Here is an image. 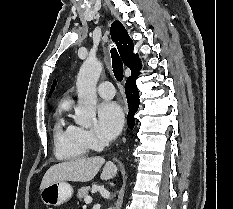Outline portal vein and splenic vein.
I'll return each instance as SVG.
<instances>
[{"label":"portal vein and splenic vein","instance_id":"18ae733b","mask_svg":"<svg viewBox=\"0 0 233 209\" xmlns=\"http://www.w3.org/2000/svg\"><path fill=\"white\" fill-rule=\"evenodd\" d=\"M84 201H85L86 204H89V203L92 202V197L86 196L85 199H84Z\"/></svg>","mask_w":233,"mask_h":209}]
</instances>
